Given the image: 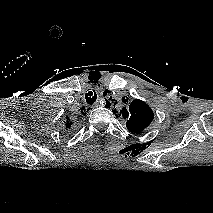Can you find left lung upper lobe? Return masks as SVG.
Wrapping results in <instances>:
<instances>
[{
    "mask_svg": "<svg viewBox=\"0 0 213 213\" xmlns=\"http://www.w3.org/2000/svg\"><path fill=\"white\" fill-rule=\"evenodd\" d=\"M124 100L125 98H122V101ZM114 114L116 117L122 116L127 119V129L137 133L146 129L154 118L152 109L145 102L137 99L130 104L128 110L123 107L120 114L116 110H114Z\"/></svg>",
    "mask_w": 213,
    "mask_h": 213,
    "instance_id": "left-lung-upper-lobe-1",
    "label": "left lung upper lobe"
}]
</instances>
